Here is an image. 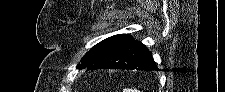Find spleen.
<instances>
[{
  "mask_svg": "<svg viewBox=\"0 0 225 92\" xmlns=\"http://www.w3.org/2000/svg\"><path fill=\"white\" fill-rule=\"evenodd\" d=\"M133 92H137V90H133Z\"/></svg>",
  "mask_w": 225,
  "mask_h": 92,
  "instance_id": "3e777b00",
  "label": "spleen"
}]
</instances>
